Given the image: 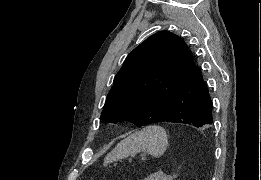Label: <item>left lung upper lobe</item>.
<instances>
[{
  "label": "left lung upper lobe",
  "instance_id": "left-lung-upper-lobe-1",
  "mask_svg": "<svg viewBox=\"0 0 261 180\" xmlns=\"http://www.w3.org/2000/svg\"><path fill=\"white\" fill-rule=\"evenodd\" d=\"M186 43L169 31L153 34L125 59L101 114L108 123L151 124L194 69Z\"/></svg>",
  "mask_w": 261,
  "mask_h": 180
}]
</instances>
